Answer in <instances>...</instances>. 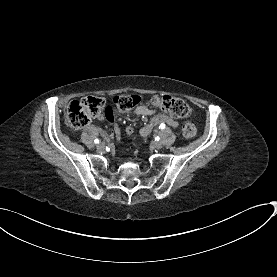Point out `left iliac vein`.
Returning <instances> with one entry per match:
<instances>
[{
  "label": "left iliac vein",
  "instance_id": "left-iliac-vein-1",
  "mask_svg": "<svg viewBox=\"0 0 277 277\" xmlns=\"http://www.w3.org/2000/svg\"><path fill=\"white\" fill-rule=\"evenodd\" d=\"M162 146H163V144L161 141H155L152 143V147L156 148V149H160V148H162Z\"/></svg>",
  "mask_w": 277,
  "mask_h": 277
}]
</instances>
